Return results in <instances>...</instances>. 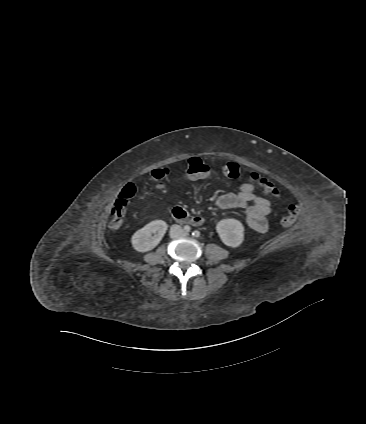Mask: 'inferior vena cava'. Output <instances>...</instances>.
Instances as JSON below:
<instances>
[{
	"label": "inferior vena cava",
	"instance_id": "602c4592",
	"mask_svg": "<svg viewBox=\"0 0 366 424\" xmlns=\"http://www.w3.org/2000/svg\"><path fill=\"white\" fill-rule=\"evenodd\" d=\"M181 226H179V225H177V224H174V225H172L171 226V229H170V236L172 237V238H175V237H177L178 236V234L181 232Z\"/></svg>",
	"mask_w": 366,
	"mask_h": 424
}]
</instances>
